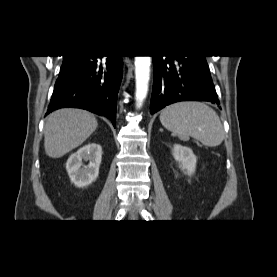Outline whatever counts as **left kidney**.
<instances>
[{"label":"left kidney","instance_id":"1","mask_svg":"<svg viewBox=\"0 0 277 277\" xmlns=\"http://www.w3.org/2000/svg\"><path fill=\"white\" fill-rule=\"evenodd\" d=\"M173 157L180 164V168L185 174L191 176L195 172L197 158L190 148L175 144Z\"/></svg>","mask_w":277,"mask_h":277}]
</instances>
